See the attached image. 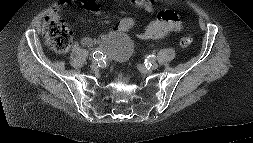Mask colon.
I'll list each match as a JSON object with an SVG mask.
<instances>
[{"mask_svg":"<svg viewBox=\"0 0 253 143\" xmlns=\"http://www.w3.org/2000/svg\"><path fill=\"white\" fill-rule=\"evenodd\" d=\"M44 40L55 51L63 53L71 46L72 32L64 22L49 18L44 25ZM191 42V37L185 36L181 38L180 45L187 47Z\"/></svg>","mask_w":253,"mask_h":143,"instance_id":"5ec220e1","label":"colon"}]
</instances>
